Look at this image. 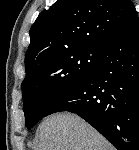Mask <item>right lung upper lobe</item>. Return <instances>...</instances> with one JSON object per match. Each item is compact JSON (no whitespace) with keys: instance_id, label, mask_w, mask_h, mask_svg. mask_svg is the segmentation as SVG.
Here are the masks:
<instances>
[{"instance_id":"cb5924a9","label":"right lung upper lobe","mask_w":139,"mask_h":150,"mask_svg":"<svg viewBox=\"0 0 139 150\" xmlns=\"http://www.w3.org/2000/svg\"><path fill=\"white\" fill-rule=\"evenodd\" d=\"M135 15L131 0H57L30 29L26 75L56 55L104 48Z\"/></svg>"}]
</instances>
